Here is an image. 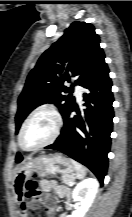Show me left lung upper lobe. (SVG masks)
Wrapping results in <instances>:
<instances>
[{
  "label": "left lung upper lobe",
  "mask_w": 132,
  "mask_h": 217,
  "mask_svg": "<svg viewBox=\"0 0 132 217\" xmlns=\"http://www.w3.org/2000/svg\"><path fill=\"white\" fill-rule=\"evenodd\" d=\"M99 43L92 24L75 21L41 55L18 99L16 131L26 116L41 104L54 103L62 116L73 107L74 98L64 95L73 90V85L68 88L63 83L75 78V84L83 86L93 76L105 59ZM17 157L22 158L19 153Z\"/></svg>",
  "instance_id": "1"
}]
</instances>
